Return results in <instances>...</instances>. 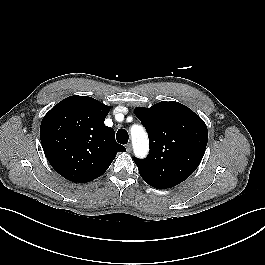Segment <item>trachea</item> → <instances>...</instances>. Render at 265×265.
Wrapping results in <instances>:
<instances>
[{
  "label": "trachea",
  "mask_w": 265,
  "mask_h": 265,
  "mask_svg": "<svg viewBox=\"0 0 265 265\" xmlns=\"http://www.w3.org/2000/svg\"><path fill=\"white\" fill-rule=\"evenodd\" d=\"M116 139L120 144H127L129 135L125 129H119L116 134Z\"/></svg>",
  "instance_id": "trachea-1"
}]
</instances>
